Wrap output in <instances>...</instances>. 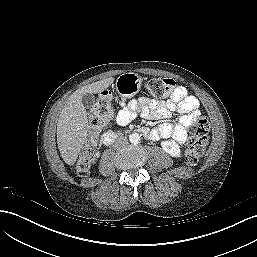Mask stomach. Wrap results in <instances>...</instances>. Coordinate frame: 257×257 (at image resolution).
Masks as SVG:
<instances>
[{
  "label": "stomach",
  "instance_id": "1",
  "mask_svg": "<svg viewBox=\"0 0 257 257\" xmlns=\"http://www.w3.org/2000/svg\"><path fill=\"white\" fill-rule=\"evenodd\" d=\"M142 78L133 72L121 74L116 81V90L125 98L134 97L140 90Z\"/></svg>",
  "mask_w": 257,
  "mask_h": 257
}]
</instances>
